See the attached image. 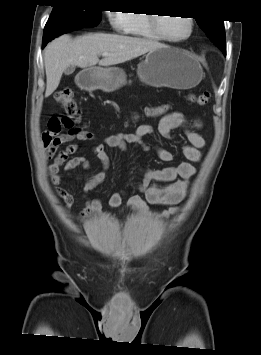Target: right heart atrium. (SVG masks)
<instances>
[{"mask_svg":"<svg viewBox=\"0 0 261 355\" xmlns=\"http://www.w3.org/2000/svg\"><path fill=\"white\" fill-rule=\"evenodd\" d=\"M108 19L117 32H127L129 27V14L126 11H109Z\"/></svg>","mask_w":261,"mask_h":355,"instance_id":"right-heart-atrium-1","label":"right heart atrium"}]
</instances>
